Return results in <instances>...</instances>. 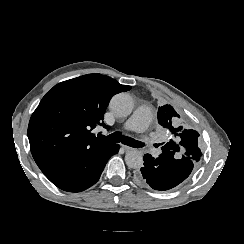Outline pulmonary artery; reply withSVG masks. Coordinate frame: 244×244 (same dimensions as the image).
<instances>
[{
  "mask_svg": "<svg viewBox=\"0 0 244 244\" xmlns=\"http://www.w3.org/2000/svg\"><path fill=\"white\" fill-rule=\"evenodd\" d=\"M151 113L146 108L136 109L126 121V128L131 133H138L149 126Z\"/></svg>",
  "mask_w": 244,
  "mask_h": 244,
  "instance_id": "e3ab8cb5",
  "label": "pulmonary artery"
}]
</instances>
